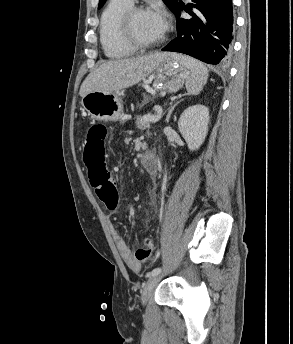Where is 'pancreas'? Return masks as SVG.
<instances>
[{"label": "pancreas", "mask_w": 293, "mask_h": 344, "mask_svg": "<svg viewBox=\"0 0 293 344\" xmlns=\"http://www.w3.org/2000/svg\"><path fill=\"white\" fill-rule=\"evenodd\" d=\"M146 100H148V97H145ZM137 124L139 125L140 128L145 129L148 126V122H145L144 124L141 123V120L137 121Z\"/></svg>", "instance_id": "cf45deb5"}]
</instances>
